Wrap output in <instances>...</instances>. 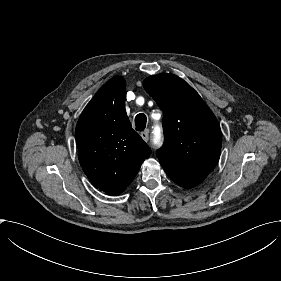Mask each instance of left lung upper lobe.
I'll use <instances>...</instances> for the list:
<instances>
[{
	"mask_svg": "<svg viewBox=\"0 0 281 281\" xmlns=\"http://www.w3.org/2000/svg\"><path fill=\"white\" fill-rule=\"evenodd\" d=\"M144 88L163 111L165 142L156 151L161 165L209 174L220 157V125L199 94L183 79L158 74Z\"/></svg>",
	"mask_w": 281,
	"mask_h": 281,
	"instance_id": "5c2ea615",
	"label": "left lung upper lobe"
}]
</instances>
